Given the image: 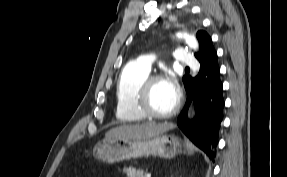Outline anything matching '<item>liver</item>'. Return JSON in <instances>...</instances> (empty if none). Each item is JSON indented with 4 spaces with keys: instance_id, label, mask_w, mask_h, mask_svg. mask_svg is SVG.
I'll return each instance as SVG.
<instances>
[{
    "instance_id": "6515ba94",
    "label": "liver",
    "mask_w": 287,
    "mask_h": 177,
    "mask_svg": "<svg viewBox=\"0 0 287 177\" xmlns=\"http://www.w3.org/2000/svg\"><path fill=\"white\" fill-rule=\"evenodd\" d=\"M175 126L172 123L157 124L154 122L135 124V125H122L116 128H112L106 132V138H120L128 140H143L155 137Z\"/></svg>"
}]
</instances>
